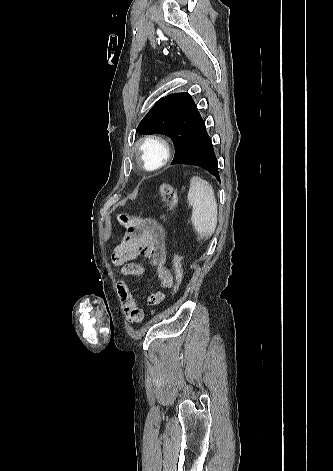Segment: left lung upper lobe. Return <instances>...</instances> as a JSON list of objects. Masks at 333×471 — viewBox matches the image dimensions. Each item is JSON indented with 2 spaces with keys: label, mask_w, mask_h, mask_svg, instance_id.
<instances>
[{
  "label": "left lung upper lobe",
  "mask_w": 333,
  "mask_h": 471,
  "mask_svg": "<svg viewBox=\"0 0 333 471\" xmlns=\"http://www.w3.org/2000/svg\"><path fill=\"white\" fill-rule=\"evenodd\" d=\"M203 119L189 93L161 98L139 123L143 135L164 134L175 145V156L188 144Z\"/></svg>",
  "instance_id": "5c2ea615"
}]
</instances>
